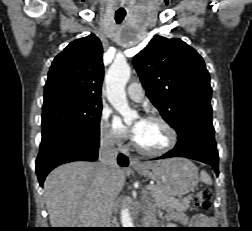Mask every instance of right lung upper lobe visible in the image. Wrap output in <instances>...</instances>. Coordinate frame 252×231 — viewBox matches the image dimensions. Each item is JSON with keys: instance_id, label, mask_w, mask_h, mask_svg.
Listing matches in <instances>:
<instances>
[{"instance_id": "right-lung-upper-lobe-1", "label": "right lung upper lobe", "mask_w": 252, "mask_h": 231, "mask_svg": "<svg viewBox=\"0 0 252 231\" xmlns=\"http://www.w3.org/2000/svg\"><path fill=\"white\" fill-rule=\"evenodd\" d=\"M102 52V44L94 34L71 42L52 62L44 99L67 94L101 101Z\"/></svg>"}]
</instances>
